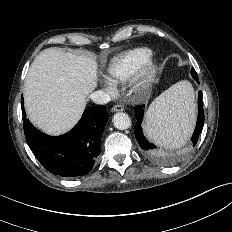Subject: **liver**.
<instances>
[{"label": "liver", "mask_w": 232, "mask_h": 232, "mask_svg": "<svg viewBox=\"0 0 232 232\" xmlns=\"http://www.w3.org/2000/svg\"><path fill=\"white\" fill-rule=\"evenodd\" d=\"M97 77V62L92 55L54 47L41 51L24 84V104L30 121L47 134L67 132L79 120Z\"/></svg>", "instance_id": "obj_1"}]
</instances>
